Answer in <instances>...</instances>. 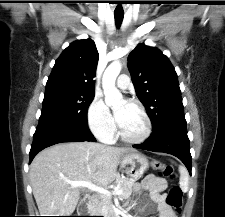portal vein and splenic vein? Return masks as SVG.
Instances as JSON below:
<instances>
[{"label": "portal vein and splenic vein", "mask_w": 225, "mask_h": 217, "mask_svg": "<svg viewBox=\"0 0 225 217\" xmlns=\"http://www.w3.org/2000/svg\"><path fill=\"white\" fill-rule=\"evenodd\" d=\"M68 183H70L74 187H86V188H88L92 191H96V192H98L100 194H103V195H106V196L121 195L122 194L121 189L117 188L115 191L110 192L109 190H107L103 187L96 186L89 181H68Z\"/></svg>", "instance_id": "18ae733b"}]
</instances>
